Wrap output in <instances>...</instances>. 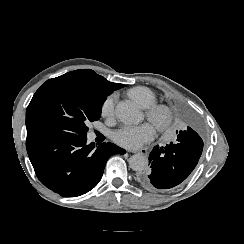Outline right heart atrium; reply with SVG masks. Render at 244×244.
I'll list each match as a JSON object with an SVG mask.
<instances>
[{"instance_id":"right-heart-atrium-1","label":"right heart atrium","mask_w":244,"mask_h":244,"mask_svg":"<svg viewBox=\"0 0 244 244\" xmlns=\"http://www.w3.org/2000/svg\"><path fill=\"white\" fill-rule=\"evenodd\" d=\"M116 102H117L116 93H112L106 97V99L102 104V109H101V114L104 118L109 119L113 116Z\"/></svg>"}]
</instances>
